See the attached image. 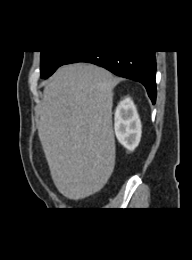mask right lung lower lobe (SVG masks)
<instances>
[{"label": "right lung lower lobe", "instance_id": "1", "mask_svg": "<svg viewBox=\"0 0 192 260\" xmlns=\"http://www.w3.org/2000/svg\"><path fill=\"white\" fill-rule=\"evenodd\" d=\"M88 62L104 67L114 74L142 83L154 104L156 101L155 51H80L70 53L62 65Z\"/></svg>", "mask_w": 192, "mask_h": 260}]
</instances>
